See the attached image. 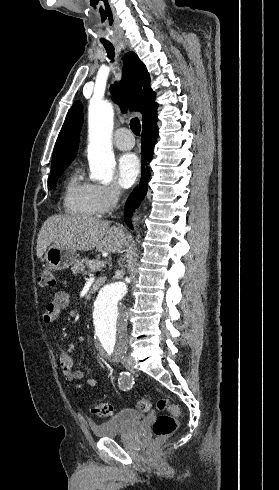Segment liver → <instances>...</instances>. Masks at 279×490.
Instances as JSON below:
<instances>
[{"label":"liver","mask_w":279,"mask_h":490,"mask_svg":"<svg viewBox=\"0 0 279 490\" xmlns=\"http://www.w3.org/2000/svg\"><path fill=\"white\" fill-rule=\"evenodd\" d=\"M123 230L124 228L110 226V222L96 218L50 216L44 222L37 238V258H42L49 244L74 252H89L96 248V252L120 254L126 242Z\"/></svg>","instance_id":"liver-1"}]
</instances>
